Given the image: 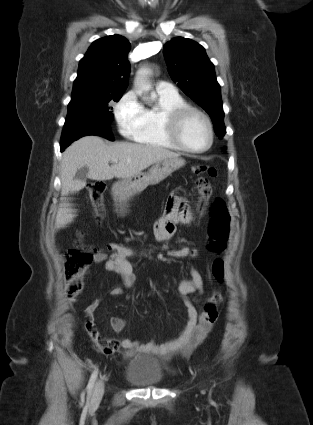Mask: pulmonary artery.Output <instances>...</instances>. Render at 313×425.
<instances>
[{"label": "pulmonary artery", "instance_id": "1", "mask_svg": "<svg viewBox=\"0 0 313 425\" xmlns=\"http://www.w3.org/2000/svg\"><path fill=\"white\" fill-rule=\"evenodd\" d=\"M156 90L166 94H175L177 93L175 87L166 81H159L156 85Z\"/></svg>", "mask_w": 313, "mask_h": 425}]
</instances>
